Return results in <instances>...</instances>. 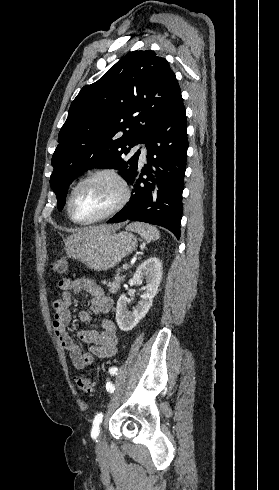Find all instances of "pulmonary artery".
I'll return each instance as SVG.
<instances>
[{
  "instance_id": "e3ab8cb5",
  "label": "pulmonary artery",
  "mask_w": 279,
  "mask_h": 490,
  "mask_svg": "<svg viewBox=\"0 0 279 490\" xmlns=\"http://www.w3.org/2000/svg\"><path fill=\"white\" fill-rule=\"evenodd\" d=\"M141 145H136L134 149H138L140 148ZM142 153L145 155L146 154V150L144 147H142Z\"/></svg>"
}]
</instances>
